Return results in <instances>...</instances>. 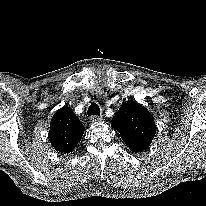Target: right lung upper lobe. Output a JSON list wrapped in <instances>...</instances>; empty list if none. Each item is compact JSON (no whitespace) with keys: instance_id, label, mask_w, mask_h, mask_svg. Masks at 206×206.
I'll use <instances>...</instances> for the list:
<instances>
[{"instance_id":"1","label":"right lung upper lobe","mask_w":206,"mask_h":206,"mask_svg":"<svg viewBox=\"0 0 206 206\" xmlns=\"http://www.w3.org/2000/svg\"><path fill=\"white\" fill-rule=\"evenodd\" d=\"M84 126L70 108L59 109L50 124V143L60 153H70L81 140Z\"/></svg>"}]
</instances>
